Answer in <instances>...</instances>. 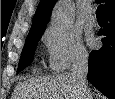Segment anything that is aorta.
I'll use <instances>...</instances> for the list:
<instances>
[{"label": "aorta", "instance_id": "762f6f07", "mask_svg": "<svg viewBox=\"0 0 115 99\" xmlns=\"http://www.w3.org/2000/svg\"><path fill=\"white\" fill-rule=\"evenodd\" d=\"M74 7L67 2L59 3L52 15L51 25L57 32L67 31L74 22Z\"/></svg>", "mask_w": 115, "mask_h": 99}]
</instances>
